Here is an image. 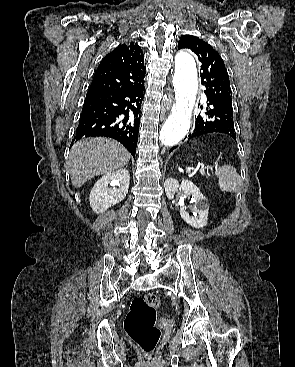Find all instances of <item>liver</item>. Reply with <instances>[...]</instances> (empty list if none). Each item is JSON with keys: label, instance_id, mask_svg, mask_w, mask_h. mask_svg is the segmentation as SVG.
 <instances>
[{"label": "liver", "instance_id": "liver-1", "mask_svg": "<svg viewBox=\"0 0 295 367\" xmlns=\"http://www.w3.org/2000/svg\"><path fill=\"white\" fill-rule=\"evenodd\" d=\"M128 150L109 138H85L73 145L67 161L71 182L79 188L88 180L124 167L130 160Z\"/></svg>", "mask_w": 295, "mask_h": 367}]
</instances>
